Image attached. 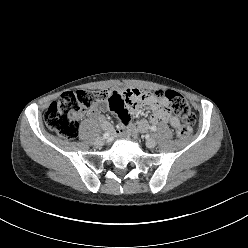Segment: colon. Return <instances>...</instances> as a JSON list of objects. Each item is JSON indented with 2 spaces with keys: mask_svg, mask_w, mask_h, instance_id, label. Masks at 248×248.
I'll list each match as a JSON object with an SVG mask.
<instances>
[{
  "mask_svg": "<svg viewBox=\"0 0 248 248\" xmlns=\"http://www.w3.org/2000/svg\"><path fill=\"white\" fill-rule=\"evenodd\" d=\"M164 97L172 111L180 115L182 123L177 128V136L185 138L190 135L196 122L187 100L178 92L167 90L159 92ZM106 90H71L64 92L61 97L53 102L44 115L48 129L64 139H73L78 135V118L95 103L108 100Z\"/></svg>",
  "mask_w": 248,
  "mask_h": 248,
  "instance_id": "colon-1",
  "label": "colon"
}]
</instances>
